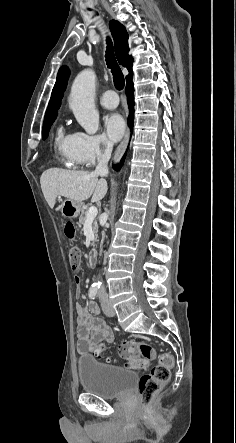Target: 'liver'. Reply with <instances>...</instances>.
<instances>
[{
	"mask_svg": "<svg viewBox=\"0 0 236 443\" xmlns=\"http://www.w3.org/2000/svg\"><path fill=\"white\" fill-rule=\"evenodd\" d=\"M40 184L45 200L54 208L57 196L83 202L92 196V202H99L107 193V182L98 179V175L88 171L50 168L40 177Z\"/></svg>",
	"mask_w": 236,
	"mask_h": 443,
	"instance_id": "1",
	"label": "liver"
}]
</instances>
